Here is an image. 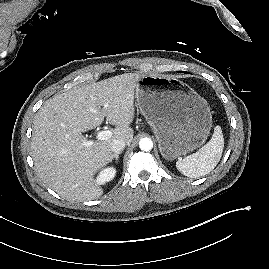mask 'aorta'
I'll return each instance as SVG.
<instances>
[{"label":"aorta","mask_w":269,"mask_h":269,"mask_svg":"<svg viewBox=\"0 0 269 269\" xmlns=\"http://www.w3.org/2000/svg\"><path fill=\"white\" fill-rule=\"evenodd\" d=\"M139 147L143 151H149L153 148V142L150 138H142L139 141Z\"/></svg>","instance_id":"1"}]
</instances>
